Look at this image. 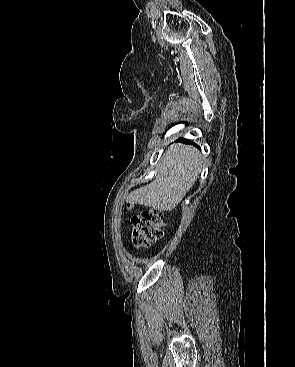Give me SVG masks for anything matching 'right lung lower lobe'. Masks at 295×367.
<instances>
[{"label":"right lung lower lobe","instance_id":"1","mask_svg":"<svg viewBox=\"0 0 295 367\" xmlns=\"http://www.w3.org/2000/svg\"><path fill=\"white\" fill-rule=\"evenodd\" d=\"M177 141H181V142L183 141V142L188 143V144L190 143V141H189V140H185V139H183V138H180V139H178ZM194 145H195V144H194Z\"/></svg>","mask_w":295,"mask_h":367}]
</instances>
